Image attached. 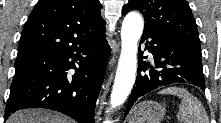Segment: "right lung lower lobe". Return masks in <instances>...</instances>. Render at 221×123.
I'll list each match as a JSON object with an SVG mask.
<instances>
[{"label":"right lung lower lobe","mask_w":221,"mask_h":123,"mask_svg":"<svg viewBox=\"0 0 221 123\" xmlns=\"http://www.w3.org/2000/svg\"><path fill=\"white\" fill-rule=\"evenodd\" d=\"M109 56L103 34L60 51L16 58L4 119L10 112L40 107L62 112L79 123H94ZM69 69L75 73L68 74Z\"/></svg>","instance_id":"right-lung-lower-lobe-1"}]
</instances>
